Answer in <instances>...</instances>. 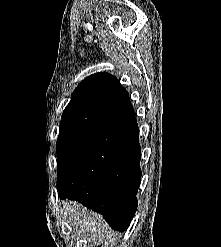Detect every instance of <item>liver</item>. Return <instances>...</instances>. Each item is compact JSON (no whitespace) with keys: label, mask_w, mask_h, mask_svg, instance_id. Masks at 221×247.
Returning <instances> with one entry per match:
<instances>
[{"label":"liver","mask_w":221,"mask_h":247,"mask_svg":"<svg viewBox=\"0 0 221 247\" xmlns=\"http://www.w3.org/2000/svg\"><path fill=\"white\" fill-rule=\"evenodd\" d=\"M63 216L84 239L98 241L104 244V247H111L115 243L114 232L105 223L103 217L87 211L81 204L75 201L65 202Z\"/></svg>","instance_id":"6515ba94"}]
</instances>
